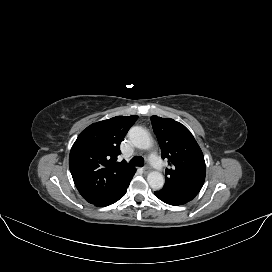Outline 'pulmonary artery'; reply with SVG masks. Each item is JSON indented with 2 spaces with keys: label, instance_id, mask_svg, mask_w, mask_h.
Instances as JSON below:
<instances>
[{
  "label": "pulmonary artery",
  "instance_id": "1",
  "mask_svg": "<svg viewBox=\"0 0 272 272\" xmlns=\"http://www.w3.org/2000/svg\"><path fill=\"white\" fill-rule=\"evenodd\" d=\"M150 164L159 171H163L165 169L164 163L156 155H152L150 157Z\"/></svg>",
  "mask_w": 272,
  "mask_h": 272
}]
</instances>
